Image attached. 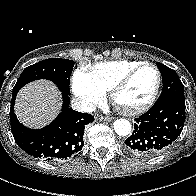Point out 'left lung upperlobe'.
I'll return each instance as SVG.
<instances>
[{"label": "left lung upper lobe", "mask_w": 196, "mask_h": 196, "mask_svg": "<svg viewBox=\"0 0 196 196\" xmlns=\"http://www.w3.org/2000/svg\"><path fill=\"white\" fill-rule=\"evenodd\" d=\"M156 65L162 75L163 81V89L156 103L165 100L185 101L184 86L177 73L159 62H156Z\"/></svg>", "instance_id": "obj_1"}]
</instances>
